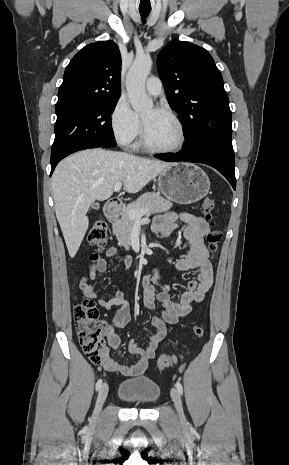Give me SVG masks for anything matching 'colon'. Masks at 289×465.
Listing matches in <instances>:
<instances>
[{"label": "colon", "instance_id": "colon-1", "mask_svg": "<svg viewBox=\"0 0 289 465\" xmlns=\"http://www.w3.org/2000/svg\"><path fill=\"white\" fill-rule=\"evenodd\" d=\"M202 209L205 218L213 226V209L214 201L212 198H205L202 203ZM107 226L102 219H98L90 229L87 239L90 245L97 249H102L107 242ZM222 239V233L217 229H211L207 234V243L209 250L214 254L218 250V246ZM93 260L98 259V255H92ZM74 318L76 323V332L80 345L87 355V357L94 363H99L106 350L105 341L103 337V326L99 322V312L94 302L84 297L75 301ZM193 333L196 337H202L204 330L201 326L196 325L193 327ZM177 362V357L174 355H162L159 358L158 365L161 369L165 370L170 368Z\"/></svg>", "mask_w": 289, "mask_h": 465}]
</instances>
